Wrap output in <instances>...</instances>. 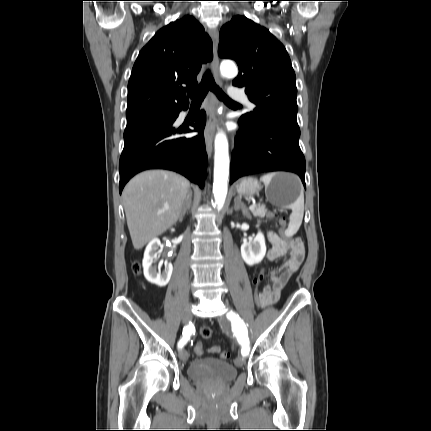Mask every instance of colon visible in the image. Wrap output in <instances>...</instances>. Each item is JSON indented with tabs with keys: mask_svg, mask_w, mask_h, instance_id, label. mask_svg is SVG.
<instances>
[{
	"mask_svg": "<svg viewBox=\"0 0 431 431\" xmlns=\"http://www.w3.org/2000/svg\"><path fill=\"white\" fill-rule=\"evenodd\" d=\"M269 216L275 217V213L270 212ZM276 224H277V227L280 231V237H284L285 232H286V220L280 219L278 217ZM133 271L137 275L141 274L142 273V265L139 262L134 263ZM264 279H265L264 273H259L258 276H255L253 278L254 287H253L252 294H251V301L253 302L254 307H257L258 312H262V307L259 305V300L261 299V296H260L261 287L259 286V284L263 283ZM200 336L203 339H209L212 336V329L209 326L201 327ZM194 349H195V355L197 356V358H199V359L202 358V356H203L202 355L203 354V345L200 342H196L194 344ZM220 356H221V358H227L228 353L222 352Z\"/></svg>",
	"mask_w": 431,
	"mask_h": 431,
	"instance_id": "5ec220e1",
	"label": "colon"
}]
</instances>
